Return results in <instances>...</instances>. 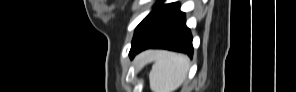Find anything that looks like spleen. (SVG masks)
I'll return each instance as SVG.
<instances>
[{"instance_id": "1", "label": "spleen", "mask_w": 296, "mask_h": 92, "mask_svg": "<svg viewBox=\"0 0 296 92\" xmlns=\"http://www.w3.org/2000/svg\"><path fill=\"white\" fill-rule=\"evenodd\" d=\"M149 56L155 61L149 74L152 92H173L184 82L190 63L186 56L167 51Z\"/></svg>"}]
</instances>
